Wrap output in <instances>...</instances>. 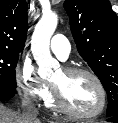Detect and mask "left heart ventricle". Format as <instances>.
Returning <instances> with one entry per match:
<instances>
[{"label":"left heart ventricle","mask_w":118,"mask_h":123,"mask_svg":"<svg viewBox=\"0 0 118 123\" xmlns=\"http://www.w3.org/2000/svg\"><path fill=\"white\" fill-rule=\"evenodd\" d=\"M64 102L79 113H91L100 103V94L93 80L85 74H67L61 69L51 79Z\"/></svg>","instance_id":"left-heart-ventricle-1"}]
</instances>
